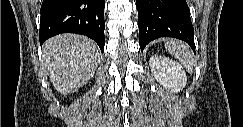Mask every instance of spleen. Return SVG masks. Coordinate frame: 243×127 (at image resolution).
I'll use <instances>...</instances> for the list:
<instances>
[{
  "label": "spleen",
  "mask_w": 243,
  "mask_h": 127,
  "mask_svg": "<svg viewBox=\"0 0 243 127\" xmlns=\"http://www.w3.org/2000/svg\"><path fill=\"white\" fill-rule=\"evenodd\" d=\"M166 48L172 53L175 58H177L183 66L189 71L192 72L194 69V59L193 54L190 48L179 41L170 40L166 43Z\"/></svg>",
  "instance_id": "3e777b00"
}]
</instances>
